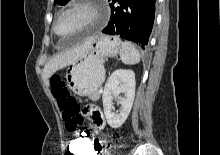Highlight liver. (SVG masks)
<instances>
[{
    "mask_svg": "<svg viewBox=\"0 0 220 155\" xmlns=\"http://www.w3.org/2000/svg\"><path fill=\"white\" fill-rule=\"evenodd\" d=\"M91 44L87 43L82 46L68 49L54 56L44 67L42 77L47 86H49V78L59 69L77 62L90 49Z\"/></svg>",
    "mask_w": 220,
    "mask_h": 155,
    "instance_id": "obj_1",
    "label": "liver"
}]
</instances>
